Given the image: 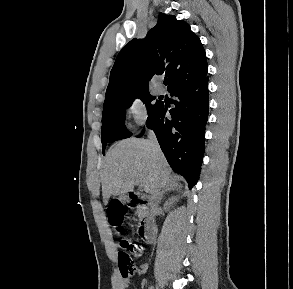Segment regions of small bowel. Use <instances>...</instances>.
Here are the masks:
<instances>
[{
	"instance_id": "obj_1",
	"label": "small bowel",
	"mask_w": 293,
	"mask_h": 289,
	"mask_svg": "<svg viewBox=\"0 0 293 289\" xmlns=\"http://www.w3.org/2000/svg\"><path fill=\"white\" fill-rule=\"evenodd\" d=\"M146 268H147L146 264H141V265L138 266V272L142 273V272H144L146 270ZM127 285H128V282L125 281L123 283V288L127 287Z\"/></svg>"
}]
</instances>
